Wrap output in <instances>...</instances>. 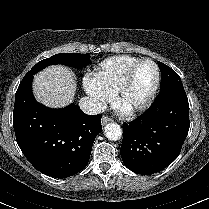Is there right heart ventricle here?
I'll return each instance as SVG.
<instances>
[{"label":"right heart ventricle","mask_w":209,"mask_h":209,"mask_svg":"<svg viewBox=\"0 0 209 209\" xmlns=\"http://www.w3.org/2000/svg\"><path fill=\"white\" fill-rule=\"evenodd\" d=\"M139 59L131 55L107 58L93 72V79L109 94L115 95L128 68Z\"/></svg>","instance_id":"e07e8e85"}]
</instances>
